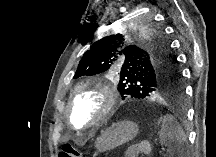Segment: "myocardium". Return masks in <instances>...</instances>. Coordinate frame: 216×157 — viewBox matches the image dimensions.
Instances as JSON below:
<instances>
[{
    "label": "myocardium",
    "mask_w": 216,
    "mask_h": 157,
    "mask_svg": "<svg viewBox=\"0 0 216 157\" xmlns=\"http://www.w3.org/2000/svg\"><path fill=\"white\" fill-rule=\"evenodd\" d=\"M85 90L96 92L102 99V105L95 117L90 122L82 126H77L73 122L71 109L75 103L77 95ZM117 103L118 96L109 84L96 80L83 81L76 85L69 94L67 113L69 117L72 118V121L70 120V124L76 129H87L93 127L104 121L113 112L117 106Z\"/></svg>",
    "instance_id": "myocardium-1"
}]
</instances>
